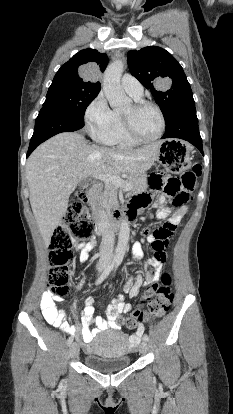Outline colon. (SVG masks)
<instances>
[{"label":"colon","instance_id":"colon-1","mask_svg":"<svg viewBox=\"0 0 233 414\" xmlns=\"http://www.w3.org/2000/svg\"><path fill=\"white\" fill-rule=\"evenodd\" d=\"M202 174V167L194 163L192 168L182 174L181 177L170 176L163 173H152L148 179L152 190H163L167 195L173 197V205L180 207L191 198V192L196 186V180ZM87 197L85 188H80L75 194L73 201L63 218V224L54 232L49 248V290L57 296L62 297L67 293L68 281L72 274V245L75 241L87 240L93 233V224L85 213L82 198ZM174 226L165 225L155 230L151 235L154 255L151 265L165 261V249L174 232ZM172 278L170 274L164 273L161 283H155L145 289L140 300V305L148 304L147 310H135L126 315L118 316L117 325L126 329L134 330L142 322L162 317L170 308L173 301L171 289ZM128 310V307L127 309Z\"/></svg>","mask_w":233,"mask_h":414}]
</instances>
